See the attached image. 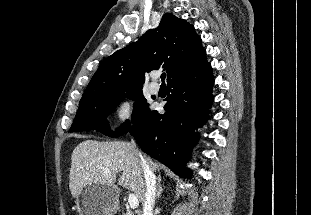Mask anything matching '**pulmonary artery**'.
Segmentation results:
<instances>
[{
	"mask_svg": "<svg viewBox=\"0 0 311 215\" xmlns=\"http://www.w3.org/2000/svg\"><path fill=\"white\" fill-rule=\"evenodd\" d=\"M156 78V76H154ZM150 92L153 94H157L159 92V85L155 82H152L149 86Z\"/></svg>",
	"mask_w": 311,
	"mask_h": 215,
	"instance_id": "e3ab8cb5",
	"label": "pulmonary artery"
}]
</instances>
